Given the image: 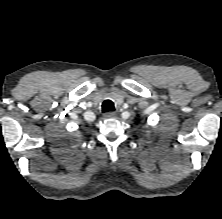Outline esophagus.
I'll return each mask as SVG.
<instances>
[{
    "mask_svg": "<svg viewBox=\"0 0 222 219\" xmlns=\"http://www.w3.org/2000/svg\"><path fill=\"white\" fill-rule=\"evenodd\" d=\"M115 113L114 112H107L105 115H104V117L105 118H113V117H115Z\"/></svg>",
    "mask_w": 222,
    "mask_h": 219,
    "instance_id": "esophagus-1",
    "label": "esophagus"
}]
</instances>
